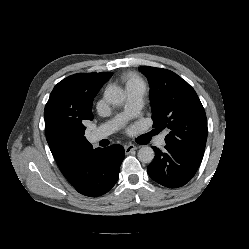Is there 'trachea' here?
Segmentation results:
<instances>
[{"mask_svg":"<svg viewBox=\"0 0 249 249\" xmlns=\"http://www.w3.org/2000/svg\"><path fill=\"white\" fill-rule=\"evenodd\" d=\"M149 140H150V136H147V143L149 142Z\"/></svg>","mask_w":249,"mask_h":249,"instance_id":"3493384b","label":"trachea"}]
</instances>
